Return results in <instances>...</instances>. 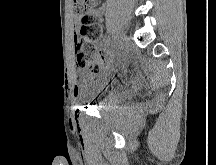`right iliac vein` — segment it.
Wrapping results in <instances>:
<instances>
[{"label": "right iliac vein", "instance_id": "obj_1", "mask_svg": "<svg viewBox=\"0 0 216 165\" xmlns=\"http://www.w3.org/2000/svg\"><path fill=\"white\" fill-rule=\"evenodd\" d=\"M124 40H125V34L123 33V31L122 30L117 31L115 36V42L118 49L120 48Z\"/></svg>", "mask_w": 216, "mask_h": 165}]
</instances>
